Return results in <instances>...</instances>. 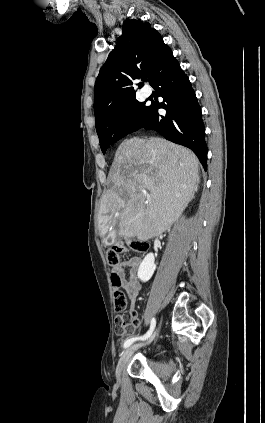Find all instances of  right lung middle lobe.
<instances>
[{
  "mask_svg": "<svg viewBox=\"0 0 265 423\" xmlns=\"http://www.w3.org/2000/svg\"><path fill=\"white\" fill-rule=\"evenodd\" d=\"M148 108L145 102L137 101L134 96L120 103L96 124L103 154L111 144L132 132L143 120Z\"/></svg>",
  "mask_w": 265,
  "mask_h": 423,
  "instance_id": "obj_1",
  "label": "right lung middle lobe"
}]
</instances>
